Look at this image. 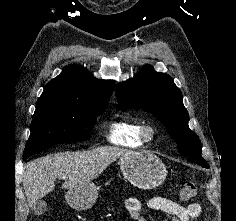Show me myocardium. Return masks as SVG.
<instances>
[{"label":"myocardium","instance_id":"1","mask_svg":"<svg viewBox=\"0 0 236 221\" xmlns=\"http://www.w3.org/2000/svg\"><path fill=\"white\" fill-rule=\"evenodd\" d=\"M157 136V129L152 124H143L141 127V138L144 142H152Z\"/></svg>","mask_w":236,"mask_h":221}]
</instances>
